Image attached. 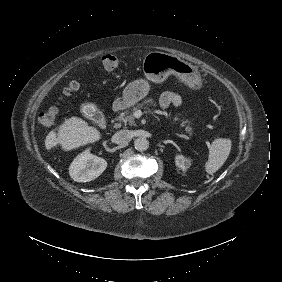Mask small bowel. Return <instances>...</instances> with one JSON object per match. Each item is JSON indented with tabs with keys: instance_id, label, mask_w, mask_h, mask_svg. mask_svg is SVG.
<instances>
[{
	"instance_id": "c3829d8e",
	"label": "small bowel",
	"mask_w": 282,
	"mask_h": 282,
	"mask_svg": "<svg viewBox=\"0 0 282 282\" xmlns=\"http://www.w3.org/2000/svg\"><path fill=\"white\" fill-rule=\"evenodd\" d=\"M182 102V97L178 93L172 91L162 93L159 100V104L162 109H166L170 105L176 107L181 106Z\"/></svg>"
}]
</instances>
